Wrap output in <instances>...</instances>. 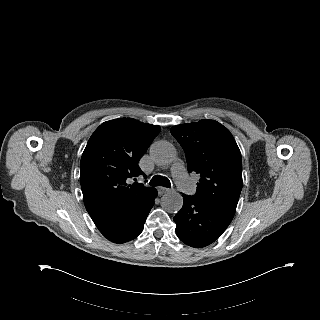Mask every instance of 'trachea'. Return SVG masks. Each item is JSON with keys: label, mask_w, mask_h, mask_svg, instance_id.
<instances>
[{"label": "trachea", "mask_w": 320, "mask_h": 320, "mask_svg": "<svg viewBox=\"0 0 320 320\" xmlns=\"http://www.w3.org/2000/svg\"><path fill=\"white\" fill-rule=\"evenodd\" d=\"M149 184L151 186H164V187H167V188H170L171 187V183L169 181V179L167 177H163V176H160V175H157V176H154Z\"/></svg>", "instance_id": "3493384b"}]
</instances>
